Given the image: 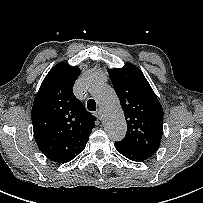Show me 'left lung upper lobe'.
I'll use <instances>...</instances> for the list:
<instances>
[{"instance_id": "5c2ea615", "label": "left lung upper lobe", "mask_w": 203, "mask_h": 203, "mask_svg": "<svg viewBox=\"0 0 203 203\" xmlns=\"http://www.w3.org/2000/svg\"><path fill=\"white\" fill-rule=\"evenodd\" d=\"M127 122L120 143L149 156L159 148L163 134V108L142 71L132 65L109 70Z\"/></svg>"}]
</instances>
